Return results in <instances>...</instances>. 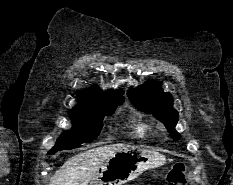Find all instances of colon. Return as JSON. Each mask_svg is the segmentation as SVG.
<instances>
[{
	"instance_id": "colon-1",
	"label": "colon",
	"mask_w": 233,
	"mask_h": 185,
	"mask_svg": "<svg viewBox=\"0 0 233 185\" xmlns=\"http://www.w3.org/2000/svg\"><path fill=\"white\" fill-rule=\"evenodd\" d=\"M168 185H186V166L184 163H175L167 174Z\"/></svg>"
}]
</instances>
